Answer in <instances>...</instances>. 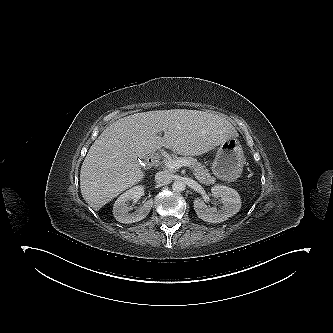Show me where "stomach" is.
Listing matches in <instances>:
<instances>
[{
  "label": "stomach",
  "instance_id": "obj_1",
  "mask_svg": "<svg viewBox=\"0 0 333 333\" xmlns=\"http://www.w3.org/2000/svg\"><path fill=\"white\" fill-rule=\"evenodd\" d=\"M244 164L243 149L239 141L232 137L219 146L211 169L217 178L232 182L241 176Z\"/></svg>",
  "mask_w": 333,
  "mask_h": 333
}]
</instances>
